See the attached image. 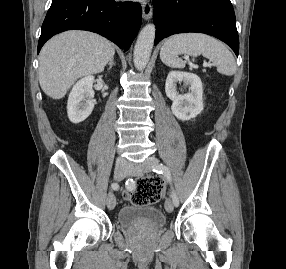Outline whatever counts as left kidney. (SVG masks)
I'll return each instance as SVG.
<instances>
[{
  "label": "left kidney",
  "instance_id": "1",
  "mask_svg": "<svg viewBox=\"0 0 286 269\" xmlns=\"http://www.w3.org/2000/svg\"><path fill=\"white\" fill-rule=\"evenodd\" d=\"M189 85L190 92L180 95L177 83ZM165 92L172 100V113L182 121L195 118L203 110V86L201 79L194 73L171 71L166 79Z\"/></svg>",
  "mask_w": 286,
  "mask_h": 269
}]
</instances>
